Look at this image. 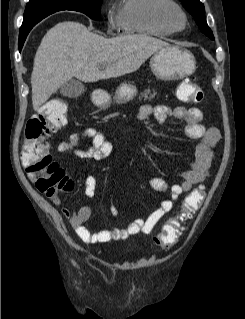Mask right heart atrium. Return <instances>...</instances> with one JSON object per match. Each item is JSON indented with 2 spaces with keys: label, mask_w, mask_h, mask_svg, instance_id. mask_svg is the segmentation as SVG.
<instances>
[{
  "label": "right heart atrium",
  "mask_w": 245,
  "mask_h": 319,
  "mask_svg": "<svg viewBox=\"0 0 245 319\" xmlns=\"http://www.w3.org/2000/svg\"><path fill=\"white\" fill-rule=\"evenodd\" d=\"M107 23H108V28L111 30L118 29L120 27L117 15L111 12L107 14Z\"/></svg>",
  "instance_id": "obj_1"
}]
</instances>
